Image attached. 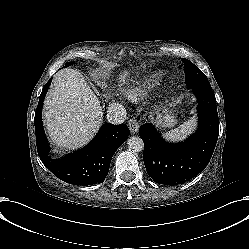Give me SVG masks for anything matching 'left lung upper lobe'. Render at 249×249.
Returning a JSON list of instances; mask_svg holds the SVG:
<instances>
[{
    "label": "left lung upper lobe",
    "mask_w": 249,
    "mask_h": 249,
    "mask_svg": "<svg viewBox=\"0 0 249 249\" xmlns=\"http://www.w3.org/2000/svg\"><path fill=\"white\" fill-rule=\"evenodd\" d=\"M182 61L185 66L184 71L187 87L194 88L202 86L212 89L207 77L195 64L184 58H182Z\"/></svg>",
    "instance_id": "1"
}]
</instances>
